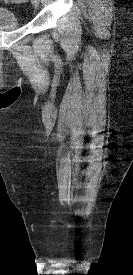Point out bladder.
I'll list each match as a JSON object with an SVG mask.
<instances>
[{"label": "bladder", "instance_id": "obj_1", "mask_svg": "<svg viewBox=\"0 0 133 275\" xmlns=\"http://www.w3.org/2000/svg\"><path fill=\"white\" fill-rule=\"evenodd\" d=\"M21 26L19 16L14 11L0 7V30H14Z\"/></svg>", "mask_w": 133, "mask_h": 275}]
</instances>
